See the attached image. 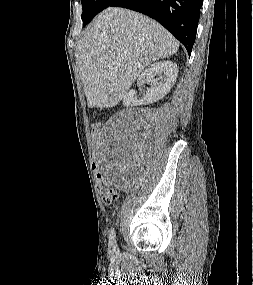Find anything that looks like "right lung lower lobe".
Masks as SVG:
<instances>
[{
  "mask_svg": "<svg viewBox=\"0 0 253 285\" xmlns=\"http://www.w3.org/2000/svg\"><path fill=\"white\" fill-rule=\"evenodd\" d=\"M203 0H116L110 6L128 8L157 20L191 54Z\"/></svg>",
  "mask_w": 253,
  "mask_h": 285,
  "instance_id": "98d812e1",
  "label": "right lung lower lobe"
}]
</instances>
